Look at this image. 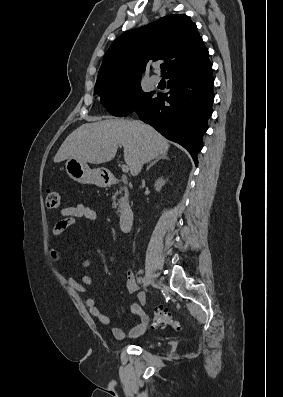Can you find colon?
Instances as JSON below:
<instances>
[{
  "mask_svg": "<svg viewBox=\"0 0 283 397\" xmlns=\"http://www.w3.org/2000/svg\"><path fill=\"white\" fill-rule=\"evenodd\" d=\"M45 202L48 208L58 209L62 206V197L58 191L49 189L46 192ZM154 326L169 325L175 329L180 328V322L174 319L172 312L163 306L154 310Z\"/></svg>",
  "mask_w": 283,
  "mask_h": 397,
  "instance_id": "obj_1",
  "label": "colon"
}]
</instances>
